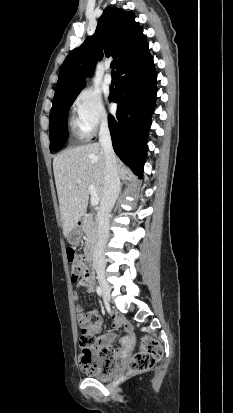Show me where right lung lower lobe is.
<instances>
[{
    "instance_id": "98d812e1",
    "label": "right lung lower lobe",
    "mask_w": 233,
    "mask_h": 413,
    "mask_svg": "<svg viewBox=\"0 0 233 413\" xmlns=\"http://www.w3.org/2000/svg\"><path fill=\"white\" fill-rule=\"evenodd\" d=\"M117 73L120 85L110 91V100L118 104V109L116 115L108 116L112 144L118 157L142 178L157 92V74L148 44L124 60Z\"/></svg>"
}]
</instances>
